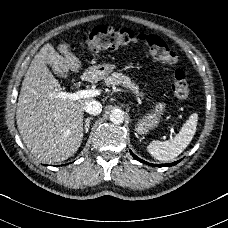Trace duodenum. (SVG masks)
I'll return each mask as SVG.
<instances>
[{"instance_id":"duodenum-1","label":"duodenum","mask_w":228,"mask_h":228,"mask_svg":"<svg viewBox=\"0 0 228 228\" xmlns=\"http://www.w3.org/2000/svg\"><path fill=\"white\" fill-rule=\"evenodd\" d=\"M92 76V72L88 71L87 73L84 74V78H90Z\"/></svg>"}]
</instances>
